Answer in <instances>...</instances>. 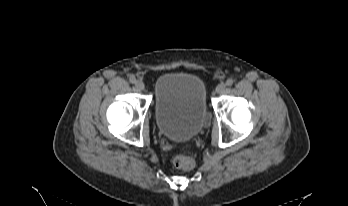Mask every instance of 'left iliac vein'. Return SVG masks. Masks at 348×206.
Instances as JSON below:
<instances>
[{"label": "left iliac vein", "instance_id": "obj_1", "mask_svg": "<svg viewBox=\"0 0 348 206\" xmlns=\"http://www.w3.org/2000/svg\"><path fill=\"white\" fill-rule=\"evenodd\" d=\"M225 89H226V85L224 83H220L216 87V92L218 94H221V93H223L225 91Z\"/></svg>", "mask_w": 348, "mask_h": 206}]
</instances>
